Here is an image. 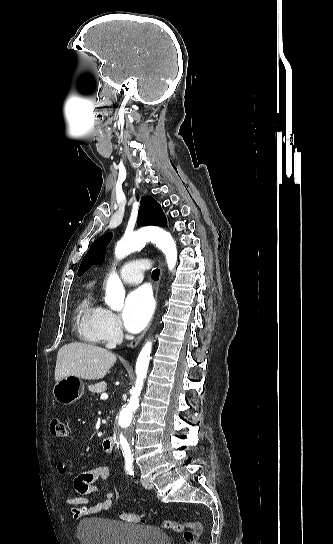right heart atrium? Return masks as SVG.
<instances>
[{
	"label": "right heart atrium",
	"mask_w": 333,
	"mask_h": 544,
	"mask_svg": "<svg viewBox=\"0 0 333 544\" xmlns=\"http://www.w3.org/2000/svg\"><path fill=\"white\" fill-rule=\"evenodd\" d=\"M102 340L108 344L117 342L122 336V329L118 317L105 309L100 321Z\"/></svg>",
	"instance_id": "d8ad5b80"
}]
</instances>
